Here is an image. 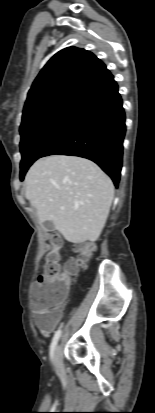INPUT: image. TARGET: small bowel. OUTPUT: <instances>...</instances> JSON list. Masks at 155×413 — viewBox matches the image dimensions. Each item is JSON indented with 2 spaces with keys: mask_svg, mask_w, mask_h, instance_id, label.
Instances as JSON below:
<instances>
[{
  "mask_svg": "<svg viewBox=\"0 0 155 413\" xmlns=\"http://www.w3.org/2000/svg\"><path fill=\"white\" fill-rule=\"evenodd\" d=\"M44 285L42 283H38L33 288L32 292V300L33 306L37 296L43 292ZM34 313L36 315V323L41 331V333L45 336H49L51 332L55 329L59 321L62 317V312L58 308L55 311L51 312H39L34 309Z\"/></svg>",
  "mask_w": 155,
  "mask_h": 413,
  "instance_id": "obj_1",
  "label": "small bowel"
}]
</instances>
